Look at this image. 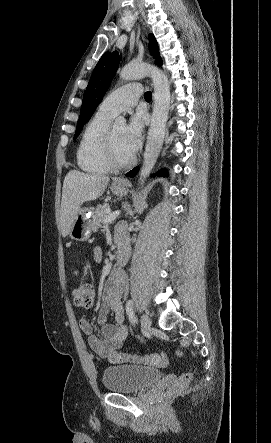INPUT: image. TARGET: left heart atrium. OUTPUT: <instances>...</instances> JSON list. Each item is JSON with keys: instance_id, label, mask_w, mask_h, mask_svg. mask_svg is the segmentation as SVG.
Here are the masks:
<instances>
[{"instance_id": "39dd6f15", "label": "left heart atrium", "mask_w": 271, "mask_h": 443, "mask_svg": "<svg viewBox=\"0 0 271 443\" xmlns=\"http://www.w3.org/2000/svg\"><path fill=\"white\" fill-rule=\"evenodd\" d=\"M146 122V114L143 111H137L130 117L125 127L124 145L132 155L139 150L143 143Z\"/></svg>"}]
</instances>
